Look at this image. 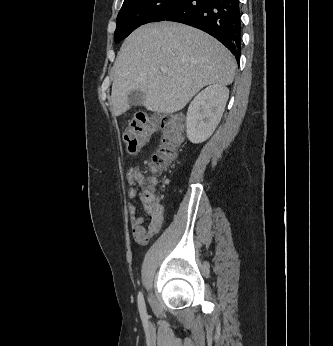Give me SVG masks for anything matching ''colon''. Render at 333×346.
<instances>
[{"mask_svg": "<svg viewBox=\"0 0 333 346\" xmlns=\"http://www.w3.org/2000/svg\"><path fill=\"white\" fill-rule=\"evenodd\" d=\"M181 118L179 113L163 118L153 114L137 113L124 131V141L128 152L135 154L143 149L160 127L162 130L160 147L152 155L149 169L152 172L166 170L177 159L179 148L183 142ZM155 188L156 180L154 178L144 180L142 192L145 197L154 196Z\"/></svg>", "mask_w": 333, "mask_h": 346, "instance_id": "colon-1", "label": "colon"}]
</instances>
